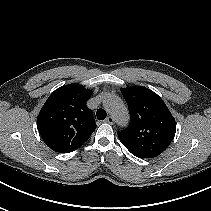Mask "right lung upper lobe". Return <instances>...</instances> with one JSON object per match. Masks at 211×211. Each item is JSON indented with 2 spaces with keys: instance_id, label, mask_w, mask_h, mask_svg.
I'll list each match as a JSON object with an SVG mask.
<instances>
[{
  "instance_id": "cb5924a9",
  "label": "right lung upper lobe",
  "mask_w": 211,
  "mask_h": 211,
  "mask_svg": "<svg viewBox=\"0 0 211 211\" xmlns=\"http://www.w3.org/2000/svg\"><path fill=\"white\" fill-rule=\"evenodd\" d=\"M91 95L89 89L69 84L55 90L46 100L37 118V128L53 151L69 153L89 139L96 128L86 106Z\"/></svg>"
}]
</instances>
